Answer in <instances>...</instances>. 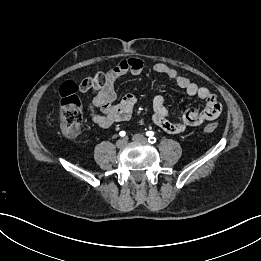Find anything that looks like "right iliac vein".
<instances>
[{
	"label": "right iliac vein",
	"mask_w": 261,
	"mask_h": 261,
	"mask_svg": "<svg viewBox=\"0 0 261 261\" xmlns=\"http://www.w3.org/2000/svg\"><path fill=\"white\" fill-rule=\"evenodd\" d=\"M126 144H127V140H126V139H119V140L116 142V146H117L118 148H123Z\"/></svg>",
	"instance_id": "obj_1"
}]
</instances>
